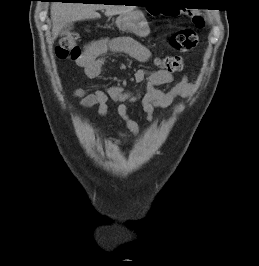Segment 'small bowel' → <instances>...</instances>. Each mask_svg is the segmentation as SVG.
I'll use <instances>...</instances> for the list:
<instances>
[{
	"label": "small bowel",
	"mask_w": 259,
	"mask_h": 266,
	"mask_svg": "<svg viewBox=\"0 0 259 266\" xmlns=\"http://www.w3.org/2000/svg\"><path fill=\"white\" fill-rule=\"evenodd\" d=\"M108 51L123 52L141 62H146L151 57L149 49L132 38H99L84 47L83 53L77 61L87 77L96 78L101 74L106 62L105 55ZM134 80L136 83H143L140 94L125 90L120 86L110 85L105 92L96 91L85 94L79 91L78 95L81 97L83 106H97L101 116L108 113V101L116 103L119 116L125 122L129 133L135 136L140 129L138 123L128 114L129 104L139 103L146 114L147 121L151 122L155 109L166 108L176 99L190 94L193 90V85L187 76H183L180 82L167 91L159 89L160 86L173 81L172 73L167 71L151 72L139 69L135 72ZM122 135L125 136V134ZM109 144L114 145L115 142L111 140Z\"/></svg>",
	"instance_id": "small-bowel-1"
}]
</instances>
